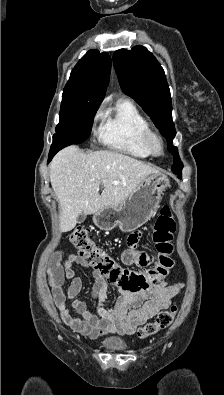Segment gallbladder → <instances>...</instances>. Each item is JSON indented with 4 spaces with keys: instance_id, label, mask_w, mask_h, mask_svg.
Returning a JSON list of instances; mask_svg holds the SVG:
<instances>
[{
    "instance_id": "bac80fb5",
    "label": "gallbladder",
    "mask_w": 224,
    "mask_h": 395,
    "mask_svg": "<svg viewBox=\"0 0 224 395\" xmlns=\"http://www.w3.org/2000/svg\"><path fill=\"white\" fill-rule=\"evenodd\" d=\"M85 218H86V216L83 213L79 214L77 217V223L78 224L83 223L85 221Z\"/></svg>"
}]
</instances>
